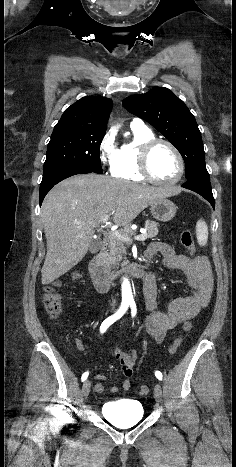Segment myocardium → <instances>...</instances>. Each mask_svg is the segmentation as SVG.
<instances>
[{
    "label": "myocardium",
    "mask_w": 236,
    "mask_h": 467,
    "mask_svg": "<svg viewBox=\"0 0 236 467\" xmlns=\"http://www.w3.org/2000/svg\"><path fill=\"white\" fill-rule=\"evenodd\" d=\"M166 145L169 147L173 153L176 155L178 162H179V173L174 178L173 180L169 181H163L155 178L150 170V156L153 151V149L157 145ZM138 170L140 174L149 182H152L154 184L158 185H174L177 184L184 176L185 173V161L184 158L181 154V152L178 150V148L171 143L170 141L162 138H151L149 140H146L143 142L138 151Z\"/></svg>",
    "instance_id": "f54148a6"
}]
</instances>
